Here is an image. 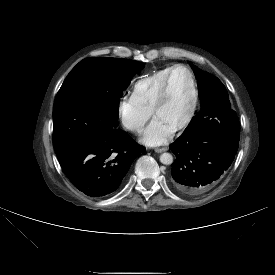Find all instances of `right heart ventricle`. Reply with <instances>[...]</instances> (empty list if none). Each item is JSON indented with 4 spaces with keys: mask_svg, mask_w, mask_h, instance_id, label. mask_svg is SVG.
I'll return each instance as SVG.
<instances>
[{
    "mask_svg": "<svg viewBox=\"0 0 275 275\" xmlns=\"http://www.w3.org/2000/svg\"><path fill=\"white\" fill-rule=\"evenodd\" d=\"M172 67L160 69L139 79L133 86L132 97L143 107L153 110L158 94Z\"/></svg>",
    "mask_w": 275,
    "mask_h": 275,
    "instance_id": "e07e8e85",
    "label": "right heart ventricle"
}]
</instances>
